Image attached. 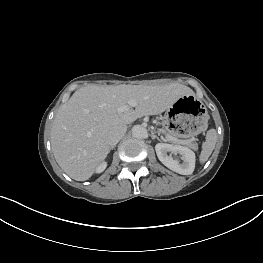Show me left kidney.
I'll return each mask as SVG.
<instances>
[{
    "instance_id": "5707ae66",
    "label": "left kidney",
    "mask_w": 263,
    "mask_h": 263,
    "mask_svg": "<svg viewBox=\"0 0 263 263\" xmlns=\"http://www.w3.org/2000/svg\"><path fill=\"white\" fill-rule=\"evenodd\" d=\"M155 150L158 159L167 168L182 175H191L193 173L195 168V153L191 149L181 145L158 143L155 146ZM172 154H179L183 162L179 163Z\"/></svg>"
}]
</instances>
